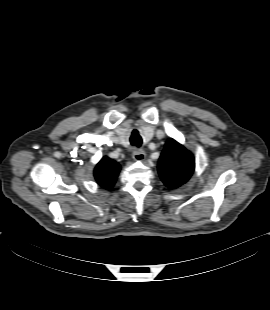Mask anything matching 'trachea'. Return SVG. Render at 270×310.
Here are the masks:
<instances>
[{"mask_svg": "<svg viewBox=\"0 0 270 310\" xmlns=\"http://www.w3.org/2000/svg\"><path fill=\"white\" fill-rule=\"evenodd\" d=\"M130 143L132 146H135L137 148H139L142 144V138L141 136L138 134L137 130H134L132 132V135L130 136Z\"/></svg>", "mask_w": 270, "mask_h": 310, "instance_id": "trachea-1", "label": "trachea"}]
</instances>
